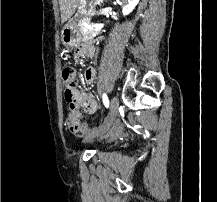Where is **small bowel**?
Segmentation results:
<instances>
[{
    "label": "small bowel",
    "instance_id": "1",
    "mask_svg": "<svg viewBox=\"0 0 217 202\" xmlns=\"http://www.w3.org/2000/svg\"><path fill=\"white\" fill-rule=\"evenodd\" d=\"M95 52L94 45L91 42L86 43L82 48H80L78 52V56L76 57V61L79 60L80 57H83L87 54L89 56H93ZM96 77V71L93 68H88L84 73V79L87 84H91ZM85 105L82 106L84 111L88 114H95L98 111V104L95 99L90 95L89 97L85 98ZM68 116H76V121H73L77 126V130L73 133H82V134H89V135H98L105 131H80V126H87L85 123L81 122V113L76 108V110H71L69 108ZM110 137H114L117 134V131H107Z\"/></svg>",
    "mask_w": 217,
    "mask_h": 202
}]
</instances>
